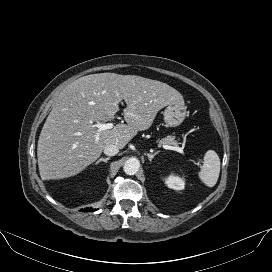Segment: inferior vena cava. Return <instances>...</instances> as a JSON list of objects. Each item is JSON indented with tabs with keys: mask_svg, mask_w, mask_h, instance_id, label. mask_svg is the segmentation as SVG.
<instances>
[{
	"mask_svg": "<svg viewBox=\"0 0 272 272\" xmlns=\"http://www.w3.org/2000/svg\"><path fill=\"white\" fill-rule=\"evenodd\" d=\"M119 152V147L115 144H108L104 148V153L108 156H115Z\"/></svg>",
	"mask_w": 272,
	"mask_h": 272,
	"instance_id": "602c4592",
	"label": "inferior vena cava"
}]
</instances>
